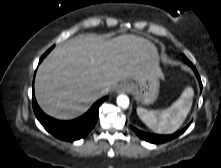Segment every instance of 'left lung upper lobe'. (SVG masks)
<instances>
[{"label": "left lung upper lobe", "mask_w": 221, "mask_h": 168, "mask_svg": "<svg viewBox=\"0 0 221 168\" xmlns=\"http://www.w3.org/2000/svg\"><path fill=\"white\" fill-rule=\"evenodd\" d=\"M183 59L189 66L194 67L192 66V63L185 56H183Z\"/></svg>", "instance_id": "5c2ea615"}]
</instances>
